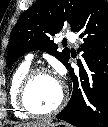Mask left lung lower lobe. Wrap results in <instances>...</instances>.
<instances>
[{
    "label": "left lung lower lobe",
    "instance_id": "left-lung-lower-lobe-1",
    "mask_svg": "<svg viewBox=\"0 0 108 127\" xmlns=\"http://www.w3.org/2000/svg\"><path fill=\"white\" fill-rule=\"evenodd\" d=\"M74 32L84 43V63L79 72L66 65L73 81V93L64 110L56 115L77 127H108V4L104 0H85ZM101 73L94 80L92 70Z\"/></svg>",
    "mask_w": 108,
    "mask_h": 127
}]
</instances>
